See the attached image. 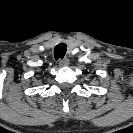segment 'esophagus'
Instances as JSON below:
<instances>
[{"mask_svg": "<svg viewBox=\"0 0 133 133\" xmlns=\"http://www.w3.org/2000/svg\"><path fill=\"white\" fill-rule=\"evenodd\" d=\"M59 65L61 67H65L69 65V59L67 57L59 60Z\"/></svg>", "mask_w": 133, "mask_h": 133, "instance_id": "esophagus-1", "label": "esophagus"}]
</instances>
